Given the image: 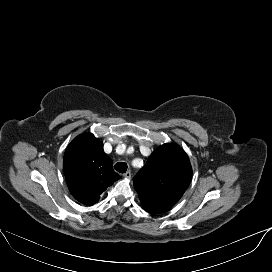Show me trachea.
Instances as JSON below:
<instances>
[{
    "label": "trachea",
    "mask_w": 272,
    "mask_h": 272,
    "mask_svg": "<svg viewBox=\"0 0 272 272\" xmlns=\"http://www.w3.org/2000/svg\"><path fill=\"white\" fill-rule=\"evenodd\" d=\"M114 168L119 173H125L127 171V164L125 162H118L115 164Z\"/></svg>",
    "instance_id": "1"
}]
</instances>
